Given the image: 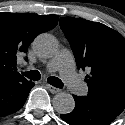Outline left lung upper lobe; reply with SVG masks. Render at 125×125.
I'll use <instances>...</instances> for the list:
<instances>
[{
	"instance_id": "1",
	"label": "left lung upper lobe",
	"mask_w": 125,
	"mask_h": 125,
	"mask_svg": "<svg viewBox=\"0 0 125 125\" xmlns=\"http://www.w3.org/2000/svg\"><path fill=\"white\" fill-rule=\"evenodd\" d=\"M60 27L68 39L77 68L89 67L88 96H114L125 100V39L99 22L62 17Z\"/></svg>"
}]
</instances>
